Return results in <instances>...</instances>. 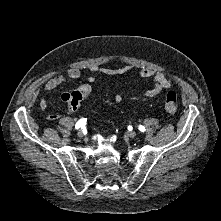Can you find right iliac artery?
<instances>
[{
    "label": "right iliac artery",
    "mask_w": 221,
    "mask_h": 221,
    "mask_svg": "<svg viewBox=\"0 0 221 221\" xmlns=\"http://www.w3.org/2000/svg\"><path fill=\"white\" fill-rule=\"evenodd\" d=\"M86 121H87L86 118L80 119V120L76 123L75 128H76V129H79V128L82 129V128L86 125Z\"/></svg>",
    "instance_id": "obj_1"
}]
</instances>
